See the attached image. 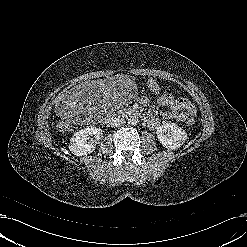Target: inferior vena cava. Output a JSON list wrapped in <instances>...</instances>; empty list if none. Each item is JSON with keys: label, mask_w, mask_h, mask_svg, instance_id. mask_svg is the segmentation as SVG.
Instances as JSON below:
<instances>
[{"label": "inferior vena cava", "mask_w": 247, "mask_h": 247, "mask_svg": "<svg viewBox=\"0 0 247 247\" xmlns=\"http://www.w3.org/2000/svg\"><path fill=\"white\" fill-rule=\"evenodd\" d=\"M109 123L111 127H119L125 123V119L114 114L110 117Z\"/></svg>", "instance_id": "obj_1"}]
</instances>
